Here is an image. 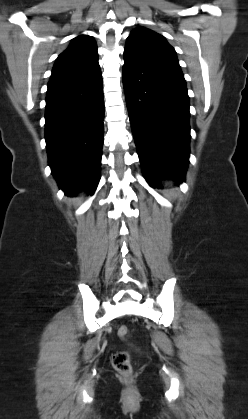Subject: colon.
<instances>
[{"mask_svg":"<svg viewBox=\"0 0 248 419\" xmlns=\"http://www.w3.org/2000/svg\"><path fill=\"white\" fill-rule=\"evenodd\" d=\"M117 334L122 339L129 336V330L126 326H120ZM112 364L114 369L124 376H129L132 371L130 354L127 351H119L113 355Z\"/></svg>","mask_w":248,"mask_h":419,"instance_id":"obj_1","label":"colon"}]
</instances>
